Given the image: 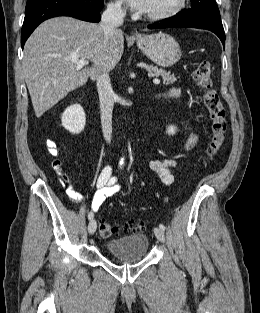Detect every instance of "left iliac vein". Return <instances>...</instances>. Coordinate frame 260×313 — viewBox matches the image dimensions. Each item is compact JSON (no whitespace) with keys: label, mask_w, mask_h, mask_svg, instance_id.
I'll list each match as a JSON object with an SVG mask.
<instances>
[{"label":"left iliac vein","mask_w":260,"mask_h":313,"mask_svg":"<svg viewBox=\"0 0 260 313\" xmlns=\"http://www.w3.org/2000/svg\"><path fill=\"white\" fill-rule=\"evenodd\" d=\"M154 233H155V236L157 237V239L160 241V242H164L165 241V234H164V230H162L161 228H154Z\"/></svg>","instance_id":"obj_1"}]
</instances>
